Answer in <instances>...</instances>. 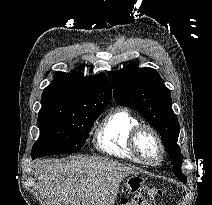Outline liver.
<instances>
[{
    "mask_svg": "<svg viewBox=\"0 0 212 205\" xmlns=\"http://www.w3.org/2000/svg\"><path fill=\"white\" fill-rule=\"evenodd\" d=\"M133 174L97 156L43 161L35 172L45 205H112L122 178Z\"/></svg>",
    "mask_w": 212,
    "mask_h": 205,
    "instance_id": "6515ba94",
    "label": "liver"
}]
</instances>
